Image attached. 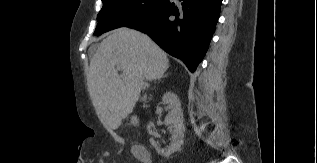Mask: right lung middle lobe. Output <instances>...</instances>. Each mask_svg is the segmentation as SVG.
Here are the masks:
<instances>
[{
  "label": "right lung middle lobe",
  "mask_w": 317,
  "mask_h": 163,
  "mask_svg": "<svg viewBox=\"0 0 317 163\" xmlns=\"http://www.w3.org/2000/svg\"><path fill=\"white\" fill-rule=\"evenodd\" d=\"M166 0H102L103 8L97 16V36L104 32L126 26L147 14H150Z\"/></svg>",
  "instance_id": "right-lung-middle-lobe-1"
}]
</instances>
